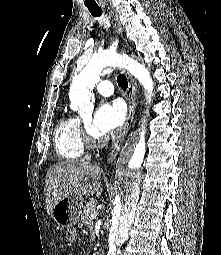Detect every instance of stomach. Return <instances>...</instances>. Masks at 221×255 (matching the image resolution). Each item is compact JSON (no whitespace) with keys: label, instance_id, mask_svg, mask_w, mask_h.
Returning <instances> with one entry per match:
<instances>
[{"label":"stomach","instance_id":"1","mask_svg":"<svg viewBox=\"0 0 221 255\" xmlns=\"http://www.w3.org/2000/svg\"><path fill=\"white\" fill-rule=\"evenodd\" d=\"M85 204L86 201L82 196H66L54 206L52 217L62 227H73L80 221Z\"/></svg>","mask_w":221,"mask_h":255}]
</instances>
